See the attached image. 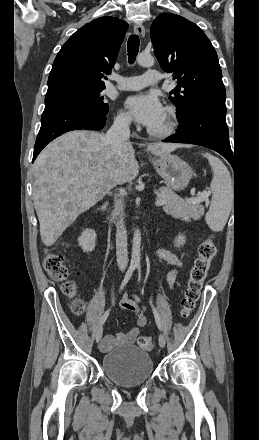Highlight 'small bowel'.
Segmentation results:
<instances>
[{"label":"small bowel","mask_w":259,"mask_h":440,"mask_svg":"<svg viewBox=\"0 0 259 440\" xmlns=\"http://www.w3.org/2000/svg\"><path fill=\"white\" fill-rule=\"evenodd\" d=\"M155 255L173 266L167 274V283L169 287L172 288L177 279L179 269L183 266L182 260L173 251L167 248H158L155 251ZM120 307L135 314L136 322L139 327L146 325L147 318L144 313L145 307L140 304L137 295L133 294L130 297L125 293L121 298ZM138 335L139 329L137 327L132 328L125 334H118L116 336L111 334L105 335L101 342V350L108 351L116 346L131 345L137 340Z\"/></svg>","instance_id":"obj_1"}]
</instances>
